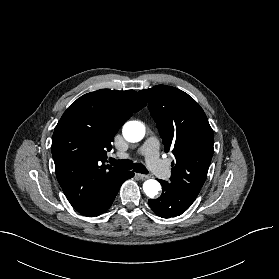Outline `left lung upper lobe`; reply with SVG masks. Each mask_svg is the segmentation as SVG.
Returning <instances> with one entry per match:
<instances>
[{
    "label": "left lung upper lobe",
    "mask_w": 279,
    "mask_h": 279,
    "mask_svg": "<svg viewBox=\"0 0 279 279\" xmlns=\"http://www.w3.org/2000/svg\"><path fill=\"white\" fill-rule=\"evenodd\" d=\"M139 93L148 101L165 151L175 156L171 166L173 186L198 194L213 156L214 135L198 103L187 93L157 85Z\"/></svg>",
    "instance_id": "5c2ea615"
}]
</instances>
